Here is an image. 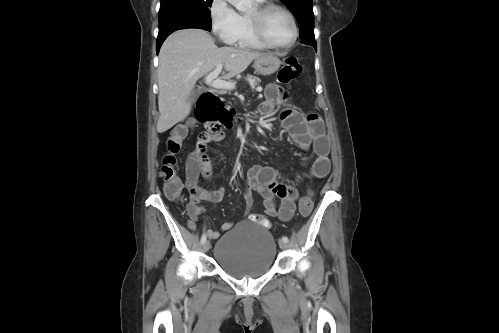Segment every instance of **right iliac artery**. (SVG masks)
Listing matches in <instances>:
<instances>
[{"mask_svg":"<svg viewBox=\"0 0 499 333\" xmlns=\"http://www.w3.org/2000/svg\"><path fill=\"white\" fill-rule=\"evenodd\" d=\"M205 241H206V234L203 233V235L201 237V244H204Z\"/></svg>","mask_w":499,"mask_h":333,"instance_id":"82829eb1","label":"right iliac artery"}]
</instances>
